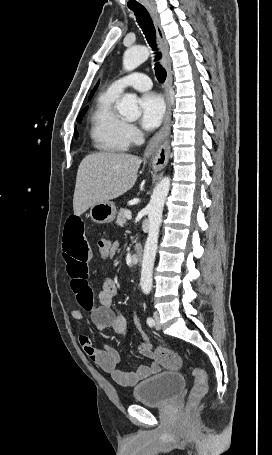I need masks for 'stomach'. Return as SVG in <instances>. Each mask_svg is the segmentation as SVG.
I'll use <instances>...</instances> for the list:
<instances>
[{"label":"stomach","instance_id":"0dacf381","mask_svg":"<svg viewBox=\"0 0 272 455\" xmlns=\"http://www.w3.org/2000/svg\"><path fill=\"white\" fill-rule=\"evenodd\" d=\"M93 222L98 224L110 223L116 216V206L113 202L107 201L98 203L90 208L89 213Z\"/></svg>","mask_w":272,"mask_h":455}]
</instances>
